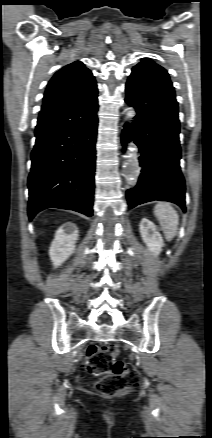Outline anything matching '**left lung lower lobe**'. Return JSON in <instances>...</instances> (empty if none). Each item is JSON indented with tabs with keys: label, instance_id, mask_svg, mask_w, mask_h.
Segmentation results:
<instances>
[{
	"label": "left lung lower lobe",
	"instance_id": "0a47b994",
	"mask_svg": "<svg viewBox=\"0 0 212 438\" xmlns=\"http://www.w3.org/2000/svg\"><path fill=\"white\" fill-rule=\"evenodd\" d=\"M125 101L137 115L126 124L122 143L135 141L141 153L139 182L126 192L129 208L153 201H169L185 211V181L179 161L180 125L175 96L134 81L126 84Z\"/></svg>",
	"mask_w": 212,
	"mask_h": 438
}]
</instances>
